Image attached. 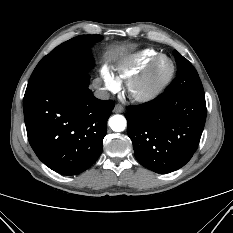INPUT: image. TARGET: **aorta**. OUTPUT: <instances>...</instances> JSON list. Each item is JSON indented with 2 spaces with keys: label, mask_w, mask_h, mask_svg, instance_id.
<instances>
[{
  "label": "aorta",
  "mask_w": 233,
  "mask_h": 233,
  "mask_svg": "<svg viewBox=\"0 0 233 233\" xmlns=\"http://www.w3.org/2000/svg\"><path fill=\"white\" fill-rule=\"evenodd\" d=\"M126 124V119L122 115H114L109 119V126L115 132L124 131Z\"/></svg>",
  "instance_id": "762f6f07"
}]
</instances>
